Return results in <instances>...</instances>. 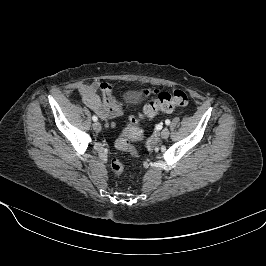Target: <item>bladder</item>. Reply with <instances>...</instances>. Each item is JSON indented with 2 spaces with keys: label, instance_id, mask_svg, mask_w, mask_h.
Wrapping results in <instances>:
<instances>
[{
  "label": "bladder",
  "instance_id": "31cf9c89",
  "mask_svg": "<svg viewBox=\"0 0 266 266\" xmlns=\"http://www.w3.org/2000/svg\"><path fill=\"white\" fill-rule=\"evenodd\" d=\"M130 100L133 104H137V103L141 102L142 96L139 94H134L131 96Z\"/></svg>",
  "mask_w": 266,
  "mask_h": 266
}]
</instances>
